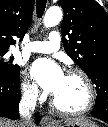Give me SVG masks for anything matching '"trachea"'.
I'll return each instance as SVG.
<instances>
[{
	"mask_svg": "<svg viewBox=\"0 0 108 127\" xmlns=\"http://www.w3.org/2000/svg\"><path fill=\"white\" fill-rule=\"evenodd\" d=\"M46 8V0H36V12L39 18L42 17Z\"/></svg>",
	"mask_w": 108,
	"mask_h": 127,
	"instance_id": "3493384b",
	"label": "trachea"
}]
</instances>
